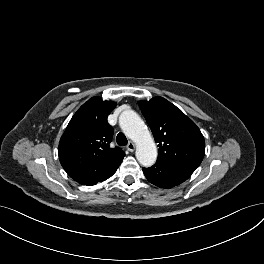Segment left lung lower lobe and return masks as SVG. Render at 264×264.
<instances>
[{
  "instance_id": "obj_1",
  "label": "left lung lower lobe",
  "mask_w": 264,
  "mask_h": 264,
  "mask_svg": "<svg viewBox=\"0 0 264 264\" xmlns=\"http://www.w3.org/2000/svg\"><path fill=\"white\" fill-rule=\"evenodd\" d=\"M147 180L161 188H171L187 180L194 172L186 166L159 161L150 168H143Z\"/></svg>"
}]
</instances>
